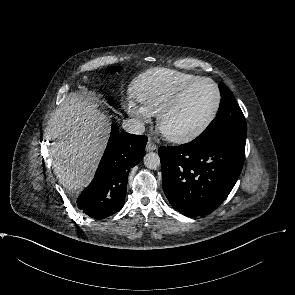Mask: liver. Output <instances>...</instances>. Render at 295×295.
Wrapping results in <instances>:
<instances>
[{
  "instance_id": "1",
  "label": "liver",
  "mask_w": 295,
  "mask_h": 295,
  "mask_svg": "<svg viewBox=\"0 0 295 295\" xmlns=\"http://www.w3.org/2000/svg\"><path fill=\"white\" fill-rule=\"evenodd\" d=\"M53 167L69 190H82L93 178L106 146L109 128L96 104L78 94L68 95L48 121Z\"/></svg>"
}]
</instances>
